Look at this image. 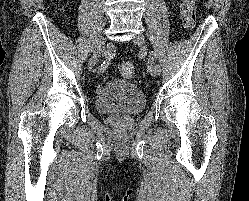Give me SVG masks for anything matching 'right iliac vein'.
<instances>
[{"label":"right iliac vein","mask_w":249,"mask_h":201,"mask_svg":"<svg viewBox=\"0 0 249 201\" xmlns=\"http://www.w3.org/2000/svg\"><path fill=\"white\" fill-rule=\"evenodd\" d=\"M106 38H101L96 49L94 50L90 60H89V63H88V69H92L95 64L97 63L99 57L101 56V54L103 53V51L105 50L106 48Z\"/></svg>","instance_id":"right-iliac-vein-1"}]
</instances>
